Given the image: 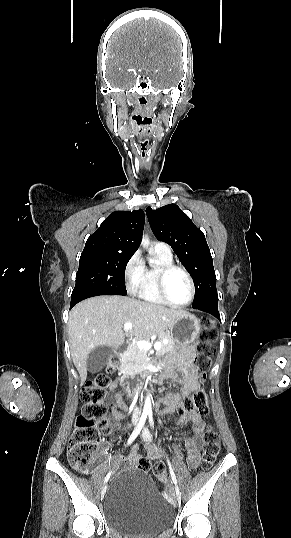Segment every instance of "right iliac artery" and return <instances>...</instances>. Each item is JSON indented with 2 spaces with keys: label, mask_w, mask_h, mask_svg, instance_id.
I'll return each instance as SVG.
<instances>
[{
  "label": "right iliac artery",
  "mask_w": 291,
  "mask_h": 538,
  "mask_svg": "<svg viewBox=\"0 0 291 538\" xmlns=\"http://www.w3.org/2000/svg\"><path fill=\"white\" fill-rule=\"evenodd\" d=\"M146 419H147V413H142L138 425L136 426V428L134 429V431L132 432V434L130 435V437H129L128 441H127V446L130 445L136 439V437L139 435L140 431L142 430V428H143V426H144V424L146 422ZM110 475H111V472H109L106 475V477L104 479V483H106L109 480Z\"/></svg>",
  "instance_id": "right-iliac-artery-1"
}]
</instances>
